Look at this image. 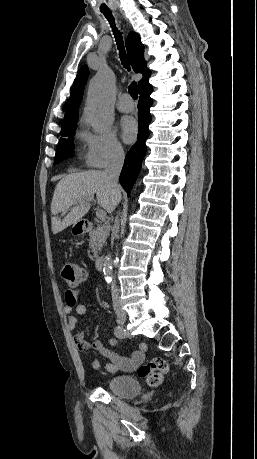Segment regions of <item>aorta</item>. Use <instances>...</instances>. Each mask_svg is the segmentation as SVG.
Segmentation results:
<instances>
[{
  "label": "aorta",
  "mask_w": 257,
  "mask_h": 459,
  "mask_svg": "<svg viewBox=\"0 0 257 459\" xmlns=\"http://www.w3.org/2000/svg\"><path fill=\"white\" fill-rule=\"evenodd\" d=\"M115 95V76L109 68L98 72L89 85L86 118L97 133H103L113 123L112 101ZM107 283L112 281V257L108 253L103 264Z\"/></svg>",
  "instance_id": "aorta-1"
}]
</instances>
